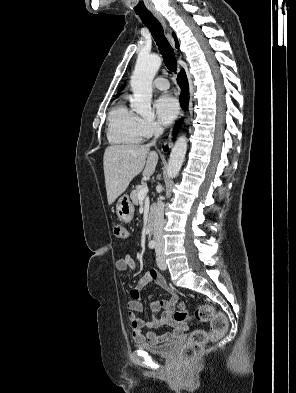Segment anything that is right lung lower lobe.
Returning a JSON list of instances; mask_svg holds the SVG:
<instances>
[{
    "instance_id": "right-lung-lower-lobe-1",
    "label": "right lung lower lobe",
    "mask_w": 296,
    "mask_h": 393,
    "mask_svg": "<svg viewBox=\"0 0 296 393\" xmlns=\"http://www.w3.org/2000/svg\"><path fill=\"white\" fill-rule=\"evenodd\" d=\"M177 80H178L179 86L182 89L181 95H180L181 106L183 108H186V106L188 104V81H187V78H186V74H185V72L183 70L179 73V76H178ZM179 125H180V123H177L176 130L178 129ZM166 149L167 148H165V150Z\"/></svg>"
}]
</instances>
